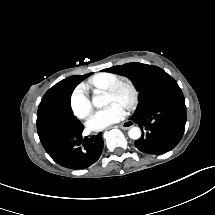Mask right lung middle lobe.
<instances>
[{"label": "right lung middle lobe", "mask_w": 215, "mask_h": 215, "mask_svg": "<svg viewBox=\"0 0 215 215\" xmlns=\"http://www.w3.org/2000/svg\"><path fill=\"white\" fill-rule=\"evenodd\" d=\"M91 74L68 77L43 96L37 112V131L47 127L82 128L83 124L73 115L70 97L74 88Z\"/></svg>", "instance_id": "1"}]
</instances>
